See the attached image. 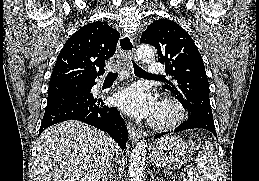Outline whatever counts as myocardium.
<instances>
[{
  "label": "myocardium",
  "instance_id": "myocardium-1",
  "mask_svg": "<svg viewBox=\"0 0 259 181\" xmlns=\"http://www.w3.org/2000/svg\"><path fill=\"white\" fill-rule=\"evenodd\" d=\"M159 109L164 112V116H155L152 119V126L157 129H169L179 125L186 116V111L182 103L174 98L166 97L160 104Z\"/></svg>",
  "mask_w": 259,
  "mask_h": 181
}]
</instances>
